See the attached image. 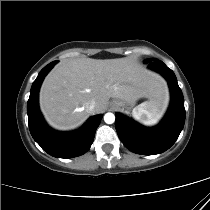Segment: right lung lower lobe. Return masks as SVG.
I'll list each match as a JSON object with an SVG mask.
<instances>
[{"label":"right lung lower lobe","mask_w":210,"mask_h":210,"mask_svg":"<svg viewBox=\"0 0 210 210\" xmlns=\"http://www.w3.org/2000/svg\"><path fill=\"white\" fill-rule=\"evenodd\" d=\"M57 62L45 66L32 84L27 103L28 123L32 137L44 151L57 158H73L90 149L102 115L90 118L81 129L74 132H57L47 126L39 111L38 92L43 79Z\"/></svg>","instance_id":"1"}]
</instances>
